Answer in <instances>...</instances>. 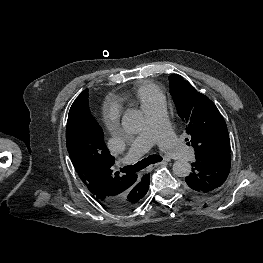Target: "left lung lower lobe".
Here are the masks:
<instances>
[{
  "label": "left lung lower lobe",
  "mask_w": 263,
  "mask_h": 263,
  "mask_svg": "<svg viewBox=\"0 0 263 263\" xmlns=\"http://www.w3.org/2000/svg\"><path fill=\"white\" fill-rule=\"evenodd\" d=\"M192 166V173L186 177L187 185L200 193H208L216 190L227 179L231 156L219 154L210 158H196Z\"/></svg>",
  "instance_id": "0a47b994"
}]
</instances>
